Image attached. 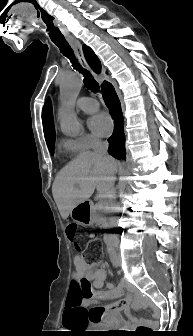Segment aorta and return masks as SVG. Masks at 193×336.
Returning a JSON list of instances; mask_svg holds the SVG:
<instances>
[{
  "label": "aorta",
  "instance_id": "aorta-1",
  "mask_svg": "<svg viewBox=\"0 0 193 336\" xmlns=\"http://www.w3.org/2000/svg\"><path fill=\"white\" fill-rule=\"evenodd\" d=\"M82 84L81 77L78 74H72L65 78L60 85V127L64 134L71 137L78 136L81 130V123L74 113L73 105Z\"/></svg>",
  "mask_w": 193,
  "mask_h": 336
}]
</instances>
